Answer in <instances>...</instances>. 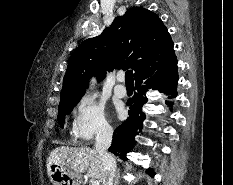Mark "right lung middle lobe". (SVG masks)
<instances>
[{
	"instance_id": "obj_1",
	"label": "right lung middle lobe",
	"mask_w": 233,
	"mask_h": 185,
	"mask_svg": "<svg viewBox=\"0 0 233 185\" xmlns=\"http://www.w3.org/2000/svg\"><path fill=\"white\" fill-rule=\"evenodd\" d=\"M79 102V100L76 101H70V102H64L59 104V112H58V120L63 121L65 116L69 114L74 106ZM61 126L63 127V124L61 123Z\"/></svg>"
}]
</instances>
